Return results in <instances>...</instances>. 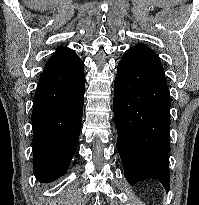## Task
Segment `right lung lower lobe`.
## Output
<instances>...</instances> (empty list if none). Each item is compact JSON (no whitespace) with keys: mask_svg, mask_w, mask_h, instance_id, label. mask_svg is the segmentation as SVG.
Here are the masks:
<instances>
[{"mask_svg":"<svg viewBox=\"0 0 199 205\" xmlns=\"http://www.w3.org/2000/svg\"><path fill=\"white\" fill-rule=\"evenodd\" d=\"M39 80L32 112L33 171L38 181L63 176L77 149L84 105V70L72 77Z\"/></svg>","mask_w":199,"mask_h":205,"instance_id":"obj_1","label":"right lung lower lobe"}]
</instances>
